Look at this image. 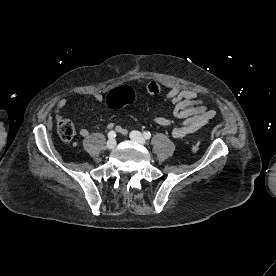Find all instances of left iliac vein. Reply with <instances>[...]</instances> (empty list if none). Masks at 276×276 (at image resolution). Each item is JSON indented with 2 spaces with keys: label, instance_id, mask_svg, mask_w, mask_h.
Masks as SVG:
<instances>
[{
  "label": "left iliac vein",
  "instance_id": "1",
  "mask_svg": "<svg viewBox=\"0 0 276 276\" xmlns=\"http://www.w3.org/2000/svg\"><path fill=\"white\" fill-rule=\"evenodd\" d=\"M130 138L133 141H135L137 143H140L142 145H145V143H146V140L143 137V135L139 131H136V130H133V131L130 132Z\"/></svg>",
  "mask_w": 276,
  "mask_h": 276
}]
</instances>
